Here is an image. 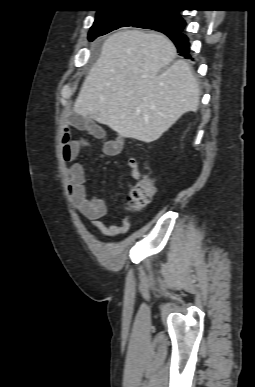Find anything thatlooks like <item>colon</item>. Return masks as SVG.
I'll use <instances>...</instances> for the list:
<instances>
[{
	"mask_svg": "<svg viewBox=\"0 0 255 387\" xmlns=\"http://www.w3.org/2000/svg\"><path fill=\"white\" fill-rule=\"evenodd\" d=\"M155 179L145 174L131 189L126 199L127 209L137 212L146 207L155 193Z\"/></svg>",
	"mask_w": 255,
	"mask_h": 387,
	"instance_id": "5ec220e1",
	"label": "colon"
}]
</instances>
